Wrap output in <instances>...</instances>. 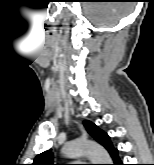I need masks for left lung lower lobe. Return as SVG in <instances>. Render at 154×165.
Segmentation results:
<instances>
[{"mask_svg":"<svg viewBox=\"0 0 154 165\" xmlns=\"http://www.w3.org/2000/svg\"><path fill=\"white\" fill-rule=\"evenodd\" d=\"M111 156H112V159H113V162H114L113 165H123V163L121 162V160L118 157L117 149L114 151V153Z\"/></svg>","mask_w":154,"mask_h":165,"instance_id":"1","label":"left lung lower lobe"}]
</instances>
